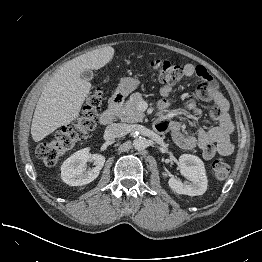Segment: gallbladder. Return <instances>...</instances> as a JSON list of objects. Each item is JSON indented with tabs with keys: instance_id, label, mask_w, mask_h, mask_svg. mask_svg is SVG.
Masks as SVG:
<instances>
[{
	"instance_id": "obj_1",
	"label": "gallbladder",
	"mask_w": 262,
	"mask_h": 262,
	"mask_svg": "<svg viewBox=\"0 0 262 262\" xmlns=\"http://www.w3.org/2000/svg\"><path fill=\"white\" fill-rule=\"evenodd\" d=\"M81 76L83 79L85 80H92L93 79V71L92 70H89V69H86L84 70L82 73H81Z\"/></svg>"
}]
</instances>
